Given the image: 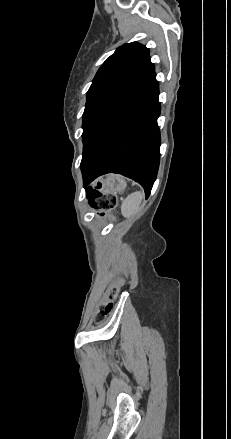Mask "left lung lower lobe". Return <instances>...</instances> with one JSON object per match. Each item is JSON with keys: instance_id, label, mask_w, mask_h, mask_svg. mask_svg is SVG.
<instances>
[{"instance_id": "left-lung-lower-lobe-1", "label": "left lung lower lobe", "mask_w": 231, "mask_h": 439, "mask_svg": "<svg viewBox=\"0 0 231 439\" xmlns=\"http://www.w3.org/2000/svg\"><path fill=\"white\" fill-rule=\"evenodd\" d=\"M159 84L155 72L114 106L84 137V185L106 173L139 182L150 194L160 161L157 118Z\"/></svg>"}]
</instances>
